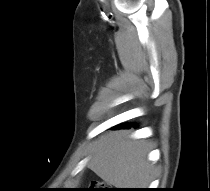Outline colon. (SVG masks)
<instances>
[{"label":"colon","instance_id":"1","mask_svg":"<svg viewBox=\"0 0 210 191\" xmlns=\"http://www.w3.org/2000/svg\"><path fill=\"white\" fill-rule=\"evenodd\" d=\"M91 187L90 191H109V189L99 181H93Z\"/></svg>","mask_w":210,"mask_h":191}]
</instances>
